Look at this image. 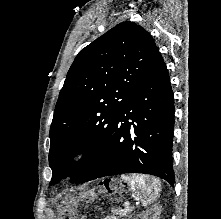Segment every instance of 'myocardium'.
Wrapping results in <instances>:
<instances>
[{
	"mask_svg": "<svg viewBox=\"0 0 221 219\" xmlns=\"http://www.w3.org/2000/svg\"><path fill=\"white\" fill-rule=\"evenodd\" d=\"M84 151L82 149H77L73 152V154L70 157L71 161L79 159L83 155Z\"/></svg>",
	"mask_w": 221,
	"mask_h": 219,
	"instance_id": "obj_1",
	"label": "myocardium"
}]
</instances>
